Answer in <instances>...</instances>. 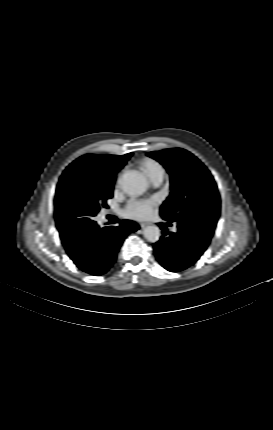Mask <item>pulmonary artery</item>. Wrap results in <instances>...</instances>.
Instances as JSON below:
<instances>
[{"label":"pulmonary artery","instance_id":"1","mask_svg":"<svg viewBox=\"0 0 273 430\" xmlns=\"http://www.w3.org/2000/svg\"><path fill=\"white\" fill-rule=\"evenodd\" d=\"M163 179H164V173L163 172L156 173L155 175H153L150 178L151 182L155 186H159L162 183ZM175 230H176V228H175Z\"/></svg>","mask_w":273,"mask_h":430}]
</instances>
